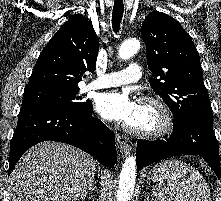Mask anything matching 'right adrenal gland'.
Returning <instances> with one entry per match:
<instances>
[{
    "instance_id": "2a0ac1e0",
    "label": "right adrenal gland",
    "mask_w": 221,
    "mask_h": 201,
    "mask_svg": "<svg viewBox=\"0 0 221 201\" xmlns=\"http://www.w3.org/2000/svg\"><path fill=\"white\" fill-rule=\"evenodd\" d=\"M96 190V185L95 183L92 184V186L89 188L88 192L81 198L84 199L89 193H93Z\"/></svg>"
}]
</instances>
